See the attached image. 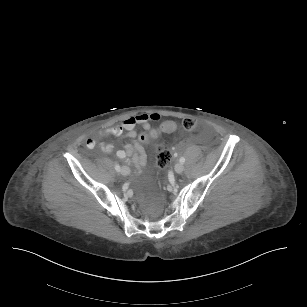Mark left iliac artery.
Segmentation results:
<instances>
[{
	"mask_svg": "<svg viewBox=\"0 0 307 307\" xmlns=\"http://www.w3.org/2000/svg\"><path fill=\"white\" fill-rule=\"evenodd\" d=\"M179 161H180V163L183 164V163L185 162V158H184V157H181Z\"/></svg>",
	"mask_w": 307,
	"mask_h": 307,
	"instance_id": "1",
	"label": "left iliac artery"
}]
</instances>
